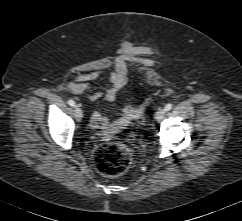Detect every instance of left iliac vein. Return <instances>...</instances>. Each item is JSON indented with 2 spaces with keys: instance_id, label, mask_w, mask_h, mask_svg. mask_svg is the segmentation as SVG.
I'll list each match as a JSON object with an SVG mask.
<instances>
[{
  "instance_id": "1",
  "label": "left iliac vein",
  "mask_w": 242,
  "mask_h": 221,
  "mask_svg": "<svg viewBox=\"0 0 242 221\" xmlns=\"http://www.w3.org/2000/svg\"><path fill=\"white\" fill-rule=\"evenodd\" d=\"M164 115H165V110L160 108L156 111L154 118L156 120H161L164 117Z\"/></svg>"
}]
</instances>
